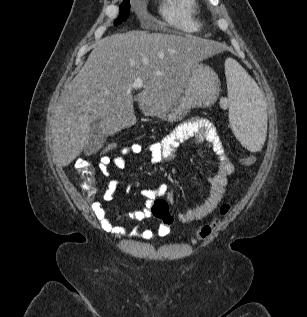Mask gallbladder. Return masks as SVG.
Listing matches in <instances>:
<instances>
[{
  "instance_id": "gallbladder-1",
  "label": "gallbladder",
  "mask_w": 307,
  "mask_h": 317,
  "mask_svg": "<svg viewBox=\"0 0 307 317\" xmlns=\"http://www.w3.org/2000/svg\"><path fill=\"white\" fill-rule=\"evenodd\" d=\"M105 138L100 119H96L91 123V133L84 147V153L90 156L96 153L104 144Z\"/></svg>"
}]
</instances>
